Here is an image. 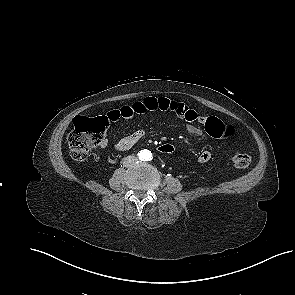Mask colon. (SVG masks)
Here are the masks:
<instances>
[{"label":"colon","mask_w":295,"mask_h":295,"mask_svg":"<svg viewBox=\"0 0 295 295\" xmlns=\"http://www.w3.org/2000/svg\"><path fill=\"white\" fill-rule=\"evenodd\" d=\"M107 124L108 122L103 116H78L74 119L73 130L67 138L70 156L74 161H84L90 151L102 142ZM205 128L209 134L218 138L231 137L235 133L233 126L222 123L217 119L209 120ZM157 148L160 153L169 156L173 155L176 150L173 144L166 141L160 142ZM250 161V156L244 152L235 153L232 157V163L237 169L247 168Z\"/></svg>","instance_id":"1"}]
</instances>
